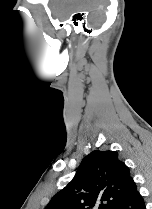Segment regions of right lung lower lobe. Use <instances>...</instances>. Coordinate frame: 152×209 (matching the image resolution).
<instances>
[{
	"instance_id": "1",
	"label": "right lung lower lobe",
	"mask_w": 152,
	"mask_h": 209,
	"mask_svg": "<svg viewBox=\"0 0 152 209\" xmlns=\"http://www.w3.org/2000/svg\"><path fill=\"white\" fill-rule=\"evenodd\" d=\"M114 209H146L145 202L137 191V188L131 192V194Z\"/></svg>"
}]
</instances>
